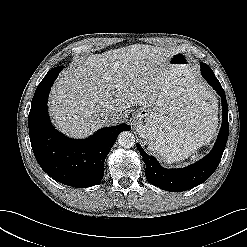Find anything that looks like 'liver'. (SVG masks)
<instances>
[{
	"mask_svg": "<svg viewBox=\"0 0 247 247\" xmlns=\"http://www.w3.org/2000/svg\"><path fill=\"white\" fill-rule=\"evenodd\" d=\"M177 52L134 44L78 61L61 72L51 90L53 121L67 135L84 138L116 123L131 105L151 107L169 84L174 70L168 62ZM108 105L117 108L118 117L101 116Z\"/></svg>",
	"mask_w": 247,
	"mask_h": 247,
	"instance_id": "6515ba94",
	"label": "liver"
}]
</instances>
